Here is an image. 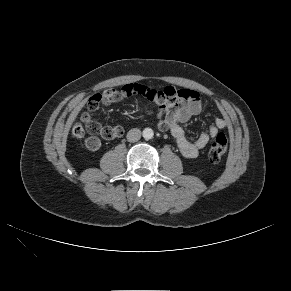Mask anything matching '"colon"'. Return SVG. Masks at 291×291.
<instances>
[{
    "instance_id": "obj_1",
    "label": "colon",
    "mask_w": 291,
    "mask_h": 291,
    "mask_svg": "<svg viewBox=\"0 0 291 291\" xmlns=\"http://www.w3.org/2000/svg\"><path fill=\"white\" fill-rule=\"evenodd\" d=\"M103 96L98 94L91 97L88 101V112L82 114L81 122L73 126L72 134L76 138L84 137L85 133L90 136L87 138L95 139L97 136H102L106 139H113L122 134L119 127H102L99 123L92 119L90 112L94 111L99 103L102 101ZM228 148V139L225 134L219 133L211 142L208 150V158L211 162L216 163L221 160Z\"/></svg>"
}]
</instances>
